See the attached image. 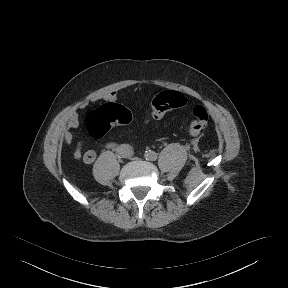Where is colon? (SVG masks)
Instances as JSON below:
<instances>
[{
	"mask_svg": "<svg viewBox=\"0 0 288 288\" xmlns=\"http://www.w3.org/2000/svg\"><path fill=\"white\" fill-rule=\"evenodd\" d=\"M185 103L179 92H166L158 96L151 106V116L162 119L169 111L181 108ZM131 113L117 104H104L95 108L88 116L86 127L93 139H101L115 125L126 124L131 121ZM208 124V115L205 109L198 108L194 112V119L189 125V133L193 136L201 135ZM94 156L92 150L84 153L83 159L89 161Z\"/></svg>",
	"mask_w": 288,
	"mask_h": 288,
	"instance_id": "obj_1",
	"label": "colon"
}]
</instances>
